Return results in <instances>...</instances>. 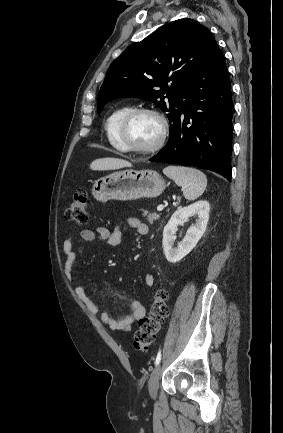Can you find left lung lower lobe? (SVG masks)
I'll return each mask as SVG.
<instances>
[{
    "label": "left lung lower lobe",
    "instance_id": "0a47b994",
    "mask_svg": "<svg viewBox=\"0 0 283 433\" xmlns=\"http://www.w3.org/2000/svg\"><path fill=\"white\" fill-rule=\"evenodd\" d=\"M188 105L171 123L167 145L150 161L209 169L231 181L232 92L217 45L187 89Z\"/></svg>",
    "mask_w": 283,
    "mask_h": 433
}]
</instances>
